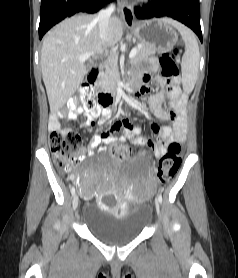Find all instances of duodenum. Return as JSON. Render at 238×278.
Instances as JSON below:
<instances>
[{"label": "duodenum", "instance_id": "duodenum-1", "mask_svg": "<svg viewBox=\"0 0 238 278\" xmlns=\"http://www.w3.org/2000/svg\"><path fill=\"white\" fill-rule=\"evenodd\" d=\"M100 69L97 66H94L90 69L88 73V82L89 84L94 88L98 102L101 106L108 107L113 104L114 102V96L106 91L101 90L97 86V79Z\"/></svg>", "mask_w": 238, "mask_h": 278}]
</instances>
